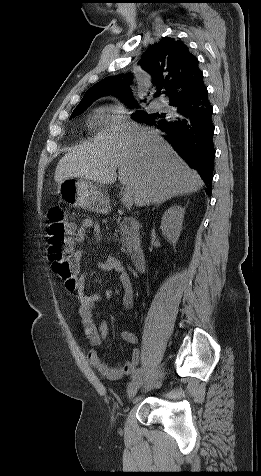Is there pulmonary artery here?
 I'll list each match as a JSON object with an SVG mask.
<instances>
[{
	"label": "pulmonary artery",
	"instance_id": "1",
	"mask_svg": "<svg viewBox=\"0 0 261 476\" xmlns=\"http://www.w3.org/2000/svg\"><path fill=\"white\" fill-rule=\"evenodd\" d=\"M158 108H159V109H163V110H165V109H166V107H165V105H164V104H159V105H158Z\"/></svg>",
	"mask_w": 261,
	"mask_h": 476
}]
</instances>
